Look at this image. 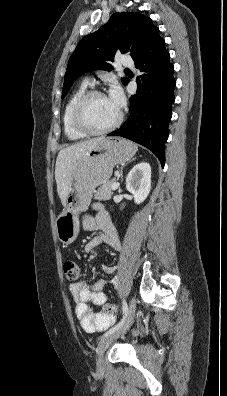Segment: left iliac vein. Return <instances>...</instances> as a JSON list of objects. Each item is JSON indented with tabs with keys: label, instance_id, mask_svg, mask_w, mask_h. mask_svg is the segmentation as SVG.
<instances>
[{
	"label": "left iliac vein",
	"instance_id": "left-iliac-vein-1",
	"mask_svg": "<svg viewBox=\"0 0 227 396\" xmlns=\"http://www.w3.org/2000/svg\"><path fill=\"white\" fill-rule=\"evenodd\" d=\"M136 312V300L134 297L129 302L127 315L123 324L113 333L103 337L97 347V371L103 372L104 370V353L107 348L121 335L125 334L133 323Z\"/></svg>",
	"mask_w": 227,
	"mask_h": 396
}]
</instances>
